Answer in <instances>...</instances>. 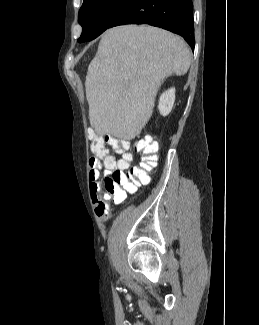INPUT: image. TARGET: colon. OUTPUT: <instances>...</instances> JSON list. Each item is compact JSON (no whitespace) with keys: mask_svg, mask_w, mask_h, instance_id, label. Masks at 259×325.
I'll return each mask as SVG.
<instances>
[{"mask_svg":"<svg viewBox=\"0 0 259 325\" xmlns=\"http://www.w3.org/2000/svg\"><path fill=\"white\" fill-rule=\"evenodd\" d=\"M88 137L90 150L96 158L103 159L108 155L106 144H109L116 152L124 153L122 161H130L131 155L126 153L128 142L108 135L102 136L93 131L89 132ZM158 148L157 141L151 136L138 140L134 149L140 153L141 162L126 172L124 169L128 166L124 164L114 168L104 180L106 195L113 197L116 202H121L125 198V191L135 192L139 186L148 184L150 174L157 163Z\"/></svg>","mask_w":259,"mask_h":325,"instance_id":"obj_1","label":"colon"}]
</instances>
